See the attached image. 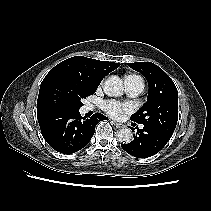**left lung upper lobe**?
<instances>
[{
	"label": "left lung upper lobe",
	"instance_id": "obj_1",
	"mask_svg": "<svg viewBox=\"0 0 211 211\" xmlns=\"http://www.w3.org/2000/svg\"><path fill=\"white\" fill-rule=\"evenodd\" d=\"M140 72L149 85L147 102L131 120L172 136L178 120V91L172 79L151 62L127 64Z\"/></svg>",
	"mask_w": 211,
	"mask_h": 211
}]
</instances>
